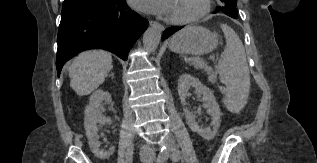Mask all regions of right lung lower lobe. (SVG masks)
Wrapping results in <instances>:
<instances>
[{"instance_id": "1", "label": "right lung lower lobe", "mask_w": 317, "mask_h": 163, "mask_svg": "<svg viewBox=\"0 0 317 163\" xmlns=\"http://www.w3.org/2000/svg\"><path fill=\"white\" fill-rule=\"evenodd\" d=\"M148 21L130 10L126 0H111L61 15L56 58L57 74L79 52L92 48L108 50L123 60Z\"/></svg>"}]
</instances>
